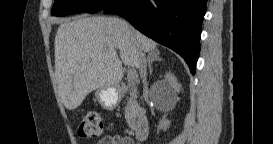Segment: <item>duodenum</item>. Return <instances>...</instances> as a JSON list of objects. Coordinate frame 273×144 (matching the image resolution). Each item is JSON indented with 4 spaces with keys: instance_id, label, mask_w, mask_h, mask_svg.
Instances as JSON below:
<instances>
[{
    "instance_id": "410a0bca",
    "label": "duodenum",
    "mask_w": 273,
    "mask_h": 144,
    "mask_svg": "<svg viewBox=\"0 0 273 144\" xmlns=\"http://www.w3.org/2000/svg\"><path fill=\"white\" fill-rule=\"evenodd\" d=\"M149 120L148 117L143 114L139 113L134 125V134L137 140L144 141L147 139L149 135Z\"/></svg>"
}]
</instances>
